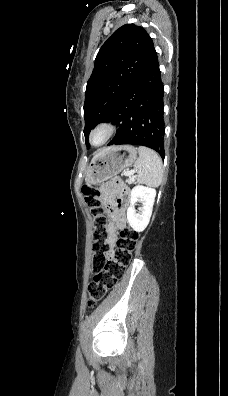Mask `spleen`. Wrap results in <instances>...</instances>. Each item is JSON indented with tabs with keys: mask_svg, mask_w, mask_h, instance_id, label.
I'll use <instances>...</instances> for the list:
<instances>
[{
	"mask_svg": "<svg viewBox=\"0 0 228 396\" xmlns=\"http://www.w3.org/2000/svg\"><path fill=\"white\" fill-rule=\"evenodd\" d=\"M139 157L134 164L136 179L142 184L157 187L163 180V167L160 156L152 149L140 146Z\"/></svg>",
	"mask_w": 228,
	"mask_h": 396,
	"instance_id": "spleen-1",
	"label": "spleen"
}]
</instances>
